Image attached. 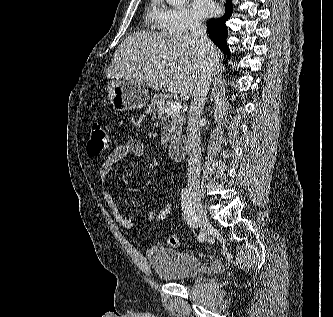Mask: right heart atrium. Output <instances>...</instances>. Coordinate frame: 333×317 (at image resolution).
<instances>
[{
	"instance_id": "d8ad5b80",
	"label": "right heart atrium",
	"mask_w": 333,
	"mask_h": 317,
	"mask_svg": "<svg viewBox=\"0 0 333 317\" xmlns=\"http://www.w3.org/2000/svg\"><path fill=\"white\" fill-rule=\"evenodd\" d=\"M157 25L166 32L184 33L198 27L200 23L188 7H171L160 2Z\"/></svg>"
}]
</instances>
